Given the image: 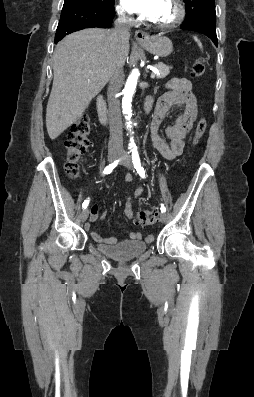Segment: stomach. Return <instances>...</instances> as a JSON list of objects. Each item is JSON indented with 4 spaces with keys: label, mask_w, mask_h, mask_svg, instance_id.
<instances>
[{
    "label": "stomach",
    "mask_w": 254,
    "mask_h": 397,
    "mask_svg": "<svg viewBox=\"0 0 254 397\" xmlns=\"http://www.w3.org/2000/svg\"><path fill=\"white\" fill-rule=\"evenodd\" d=\"M140 45L151 54L159 57H167L173 51L171 40L165 36H152L148 42Z\"/></svg>",
    "instance_id": "1"
}]
</instances>
